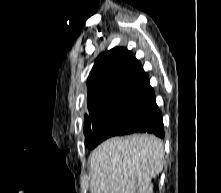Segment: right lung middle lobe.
<instances>
[{"mask_svg": "<svg viewBox=\"0 0 221 193\" xmlns=\"http://www.w3.org/2000/svg\"><path fill=\"white\" fill-rule=\"evenodd\" d=\"M152 111L150 101L122 100L109 104L89 117H85L86 144L95 148L109 137L123 134Z\"/></svg>", "mask_w": 221, "mask_h": 193, "instance_id": "obj_1", "label": "right lung middle lobe"}]
</instances>
